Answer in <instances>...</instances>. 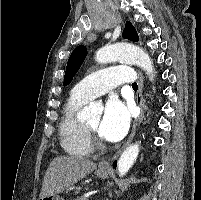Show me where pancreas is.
<instances>
[{
  "instance_id": "1",
  "label": "pancreas",
  "mask_w": 201,
  "mask_h": 200,
  "mask_svg": "<svg viewBox=\"0 0 201 200\" xmlns=\"http://www.w3.org/2000/svg\"><path fill=\"white\" fill-rule=\"evenodd\" d=\"M75 200H88V199L85 198L84 196H81V197H77Z\"/></svg>"
}]
</instances>
